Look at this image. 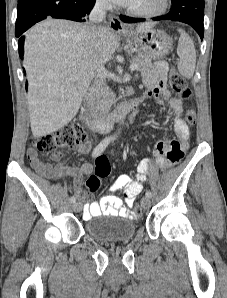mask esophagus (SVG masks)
I'll return each mask as SVG.
<instances>
[{
	"instance_id": "esophagus-1",
	"label": "esophagus",
	"mask_w": 227,
	"mask_h": 298,
	"mask_svg": "<svg viewBox=\"0 0 227 298\" xmlns=\"http://www.w3.org/2000/svg\"><path fill=\"white\" fill-rule=\"evenodd\" d=\"M109 25L112 30L117 31V32H123L125 30V27L123 26L119 17L115 16V15H111L109 17Z\"/></svg>"
}]
</instances>
